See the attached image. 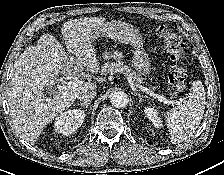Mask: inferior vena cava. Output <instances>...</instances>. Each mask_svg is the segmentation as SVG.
Instances as JSON below:
<instances>
[{
    "instance_id": "inferior-vena-cava-1",
    "label": "inferior vena cava",
    "mask_w": 224,
    "mask_h": 175,
    "mask_svg": "<svg viewBox=\"0 0 224 175\" xmlns=\"http://www.w3.org/2000/svg\"><path fill=\"white\" fill-rule=\"evenodd\" d=\"M96 90L94 89H83L77 93L76 98H78L80 101H91L96 97Z\"/></svg>"
}]
</instances>
